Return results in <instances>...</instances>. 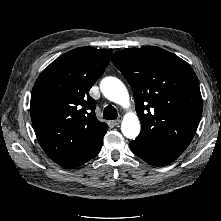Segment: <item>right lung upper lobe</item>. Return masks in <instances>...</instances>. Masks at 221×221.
<instances>
[{"label": "right lung upper lobe", "instance_id": "cb5924a9", "mask_svg": "<svg viewBox=\"0 0 221 221\" xmlns=\"http://www.w3.org/2000/svg\"><path fill=\"white\" fill-rule=\"evenodd\" d=\"M111 49L80 47L47 66L31 94L35 134L57 164L76 168L95 157L108 130L95 115L89 90L109 64Z\"/></svg>", "mask_w": 221, "mask_h": 221}]
</instances>
